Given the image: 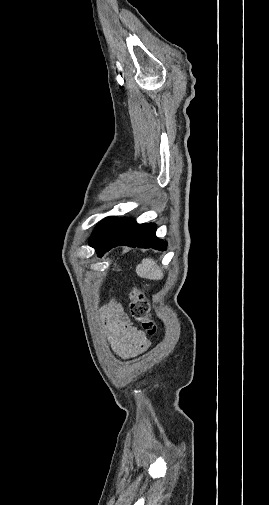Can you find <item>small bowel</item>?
I'll list each match as a JSON object with an SVG mask.
<instances>
[{
  "instance_id": "1",
  "label": "small bowel",
  "mask_w": 269,
  "mask_h": 505,
  "mask_svg": "<svg viewBox=\"0 0 269 505\" xmlns=\"http://www.w3.org/2000/svg\"><path fill=\"white\" fill-rule=\"evenodd\" d=\"M102 318L111 345L119 356L130 358L148 349L147 336L130 322L120 304L112 301L105 305Z\"/></svg>"
}]
</instances>
